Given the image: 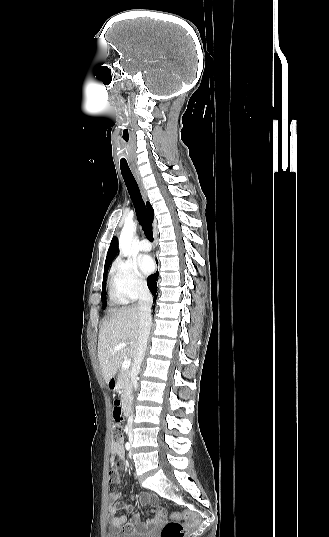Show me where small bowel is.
Instances as JSON below:
<instances>
[{"label": "small bowel", "mask_w": 329, "mask_h": 537, "mask_svg": "<svg viewBox=\"0 0 329 537\" xmlns=\"http://www.w3.org/2000/svg\"><path fill=\"white\" fill-rule=\"evenodd\" d=\"M112 420L114 423L119 424L123 421L122 409L117 403L112 405ZM111 458L109 459V481L111 485H119L121 478L119 469L121 467L120 462L125 458V451L123 442L111 443L110 445ZM122 493L110 488L109 505L108 510L110 513V527L114 530H120L125 533H146L159 526L165 517V510L158 505V498L151 493H144L140 496H130V498L136 503L150 504L154 507L152 517L143 520L140 514H135L131 521H128V517L125 514L117 516V512L122 509L131 510L132 507L125 505L120 501Z\"/></svg>", "instance_id": "small-bowel-1"}]
</instances>
